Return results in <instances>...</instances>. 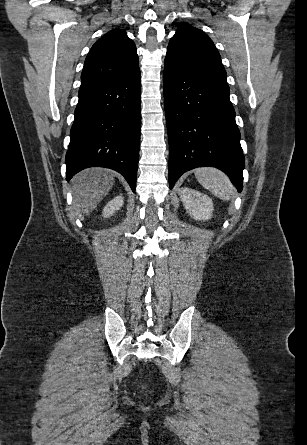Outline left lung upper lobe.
<instances>
[{
  "mask_svg": "<svg viewBox=\"0 0 307 445\" xmlns=\"http://www.w3.org/2000/svg\"><path fill=\"white\" fill-rule=\"evenodd\" d=\"M165 59L199 80L229 91L220 54L202 30L180 25L170 39Z\"/></svg>",
  "mask_w": 307,
  "mask_h": 445,
  "instance_id": "left-lung-upper-lobe-1",
  "label": "left lung upper lobe"
}]
</instances>
